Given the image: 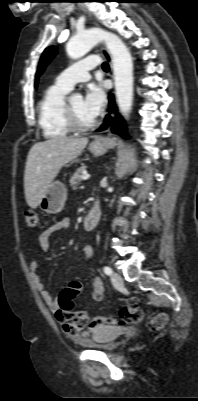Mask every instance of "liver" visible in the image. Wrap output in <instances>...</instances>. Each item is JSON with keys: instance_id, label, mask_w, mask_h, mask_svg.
Returning a JSON list of instances; mask_svg holds the SVG:
<instances>
[{"instance_id": "obj_1", "label": "liver", "mask_w": 198, "mask_h": 401, "mask_svg": "<svg viewBox=\"0 0 198 401\" xmlns=\"http://www.w3.org/2000/svg\"><path fill=\"white\" fill-rule=\"evenodd\" d=\"M87 143L86 137H54L31 147L24 173L25 198L31 208H37L60 169L77 158Z\"/></svg>"}]
</instances>
